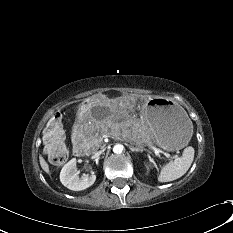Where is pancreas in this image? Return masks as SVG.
<instances>
[{"instance_id": "1", "label": "pancreas", "mask_w": 233, "mask_h": 233, "mask_svg": "<svg viewBox=\"0 0 233 233\" xmlns=\"http://www.w3.org/2000/svg\"><path fill=\"white\" fill-rule=\"evenodd\" d=\"M120 128L121 126L112 120L91 123L85 127L87 136L84 137V142L92 151L103 146L104 135H111L117 139L140 143L142 145H152V136L145 124L137 120L133 121V126L127 131V134H122Z\"/></svg>"}]
</instances>
